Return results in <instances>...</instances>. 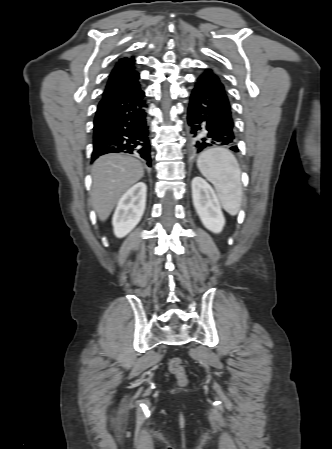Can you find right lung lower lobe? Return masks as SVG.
I'll return each instance as SVG.
<instances>
[{"instance_id":"obj_1","label":"right lung lower lobe","mask_w":332,"mask_h":449,"mask_svg":"<svg viewBox=\"0 0 332 449\" xmlns=\"http://www.w3.org/2000/svg\"><path fill=\"white\" fill-rule=\"evenodd\" d=\"M145 94L103 97L94 120L92 161L107 153H129L151 166Z\"/></svg>"}]
</instances>
